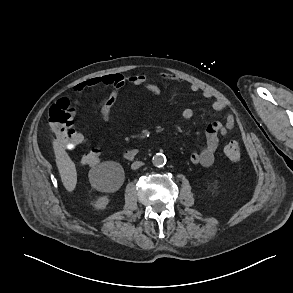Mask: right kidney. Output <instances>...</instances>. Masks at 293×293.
Wrapping results in <instances>:
<instances>
[{
	"label": "right kidney",
	"instance_id": "right-kidney-1",
	"mask_svg": "<svg viewBox=\"0 0 293 293\" xmlns=\"http://www.w3.org/2000/svg\"><path fill=\"white\" fill-rule=\"evenodd\" d=\"M102 184L98 187L100 190L105 192H113L118 190L124 181V170L122 166L114 161H107L102 163ZM109 199L107 196L98 198L94 202V207L96 209H103L108 204Z\"/></svg>",
	"mask_w": 293,
	"mask_h": 293
}]
</instances>
